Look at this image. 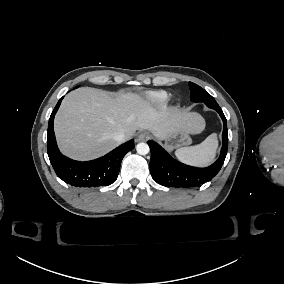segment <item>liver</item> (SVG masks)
Masks as SVG:
<instances>
[{"label": "liver", "instance_id": "6515ba94", "mask_svg": "<svg viewBox=\"0 0 284 284\" xmlns=\"http://www.w3.org/2000/svg\"><path fill=\"white\" fill-rule=\"evenodd\" d=\"M177 127L188 135L205 130L204 119L195 113L157 112L135 95L112 99L106 92L80 88L65 97L55 120V132L62 151L79 159L99 156L118 145L114 136L125 140L136 130H147L160 139Z\"/></svg>", "mask_w": 284, "mask_h": 284}]
</instances>
